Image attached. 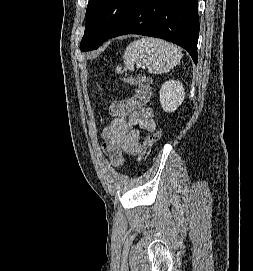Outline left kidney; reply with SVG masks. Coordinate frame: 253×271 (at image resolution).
Listing matches in <instances>:
<instances>
[{"instance_id": "obj_1", "label": "left kidney", "mask_w": 253, "mask_h": 271, "mask_svg": "<svg viewBox=\"0 0 253 271\" xmlns=\"http://www.w3.org/2000/svg\"><path fill=\"white\" fill-rule=\"evenodd\" d=\"M159 96L162 109L165 112L172 113L184 100V87L179 81H166L159 91Z\"/></svg>"}]
</instances>
